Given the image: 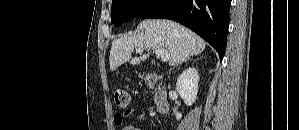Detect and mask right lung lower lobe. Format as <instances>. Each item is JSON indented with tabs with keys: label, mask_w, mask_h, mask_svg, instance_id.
<instances>
[{
	"label": "right lung lower lobe",
	"mask_w": 299,
	"mask_h": 130,
	"mask_svg": "<svg viewBox=\"0 0 299 130\" xmlns=\"http://www.w3.org/2000/svg\"><path fill=\"white\" fill-rule=\"evenodd\" d=\"M231 0H155L142 18H165L190 28L212 45L223 59Z\"/></svg>",
	"instance_id": "1"
}]
</instances>
